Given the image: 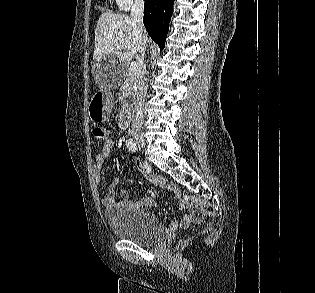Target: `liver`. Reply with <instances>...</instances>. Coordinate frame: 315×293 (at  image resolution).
<instances>
[{
	"label": "liver",
	"instance_id": "liver-1",
	"mask_svg": "<svg viewBox=\"0 0 315 293\" xmlns=\"http://www.w3.org/2000/svg\"><path fill=\"white\" fill-rule=\"evenodd\" d=\"M137 51L132 18L125 14L102 13L95 29L93 58L116 55L122 61H127L132 59Z\"/></svg>",
	"mask_w": 315,
	"mask_h": 293
}]
</instances>
